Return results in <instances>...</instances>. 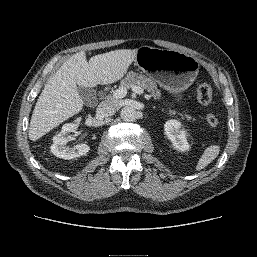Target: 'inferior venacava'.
<instances>
[{
    "instance_id": "602c4592",
    "label": "inferior vena cava",
    "mask_w": 257,
    "mask_h": 257,
    "mask_svg": "<svg viewBox=\"0 0 257 257\" xmlns=\"http://www.w3.org/2000/svg\"><path fill=\"white\" fill-rule=\"evenodd\" d=\"M118 110V105L112 101H103L97 107V116L109 117Z\"/></svg>"
}]
</instances>
